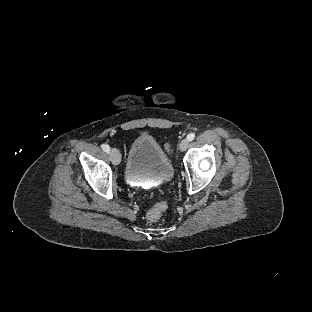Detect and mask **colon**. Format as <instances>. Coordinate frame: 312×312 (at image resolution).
I'll use <instances>...</instances> for the list:
<instances>
[{
    "instance_id": "1",
    "label": "colon",
    "mask_w": 312,
    "mask_h": 312,
    "mask_svg": "<svg viewBox=\"0 0 312 312\" xmlns=\"http://www.w3.org/2000/svg\"><path fill=\"white\" fill-rule=\"evenodd\" d=\"M161 212L162 209H160L158 206H154L147 211V219L149 221H156Z\"/></svg>"
}]
</instances>
